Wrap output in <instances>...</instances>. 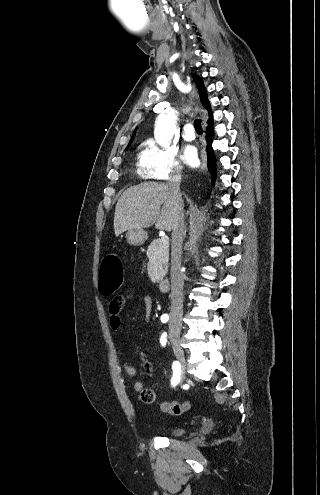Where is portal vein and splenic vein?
I'll return each mask as SVG.
<instances>
[{
	"mask_svg": "<svg viewBox=\"0 0 320 495\" xmlns=\"http://www.w3.org/2000/svg\"><path fill=\"white\" fill-rule=\"evenodd\" d=\"M161 241L164 245L169 246V237L168 236L162 237Z\"/></svg>",
	"mask_w": 320,
	"mask_h": 495,
	"instance_id": "18ae733b",
	"label": "portal vein and splenic vein"
}]
</instances>
